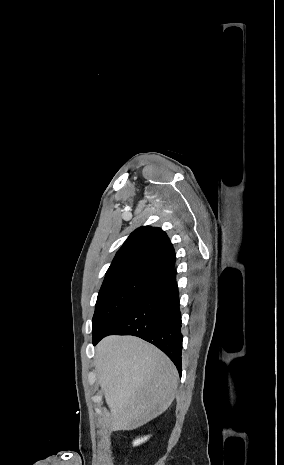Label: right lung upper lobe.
<instances>
[{"label":"right lung upper lobe","mask_w":284,"mask_h":465,"mask_svg":"<svg viewBox=\"0 0 284 465\" xmlns=\"http://www.w3.org/2000/svg\"><path fill=\"white\" fill-rule=\"evenodd\" d=\"M175 251L160 228L133 231L116 253L105 279L134 276L156 280L174 269Z\"/></svg>","instance_id":"cb5924a9"}]
</instances>
